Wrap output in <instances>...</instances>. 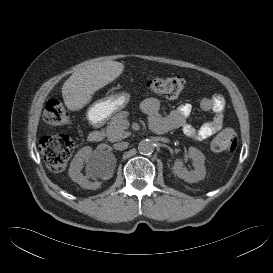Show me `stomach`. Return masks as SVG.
<instances>
[{"instance_id": "obj_1", "label": "stomach", "mask_w": 273, "mask_h": 273, "mask_svg": "<svg viewBox=\"0 0 273 273\" xmlns=\"http://www.w3.org/2000/svg\"><path fill=\"white\" fill-rule=\"evenodd\" d=\"M129 101L130 95L126 92L111 94L89 106L87 119L92 124L104 122L125 108Z\"/></svg>"}]
</instances>
